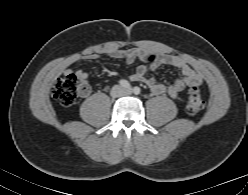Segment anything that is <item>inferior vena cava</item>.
Segmentation results:
<instances>
[{
  "label": "inferior vena cava",
  "mask_w": 248,
  "mask_h": 195,
  "mask_svg": "<svg viewBox=\"0 0 248 195\" xmlns=\"http://www.w3.org/2000/svg\"><path fill=\"white\" fill-rule=\"evenodd\" d=\"M117 88H118V89H120V87H119V86H117ZM119 95H120V94H117L116 96H119Z\"/></svg>",
  "instance_id": "602c4592"
}]
</instances>
